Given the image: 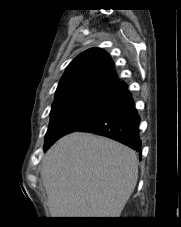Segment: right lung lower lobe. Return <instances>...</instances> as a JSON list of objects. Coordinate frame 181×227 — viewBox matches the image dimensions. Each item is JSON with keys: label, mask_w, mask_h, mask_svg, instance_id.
Listing matches in <instances>:
<instances>
[{"label": "right lung lower lobe", "mask_w": 181, "mask_h": 227, "mask_svg": "<svg viewBox=\"0 0 181 227\" xmlns=\"http://www.w3.org/2000/svg\"><path fill=\"white\" fill-rule=\"evenodd\" d=\"M138 127L139 116L122 81L98 110L71 126L64 135L74 131L92 132L117 140L141 154ZM52 144H45L44 149L47 150Z\"/></svg>", "instance_id": "1"}]
</instances>
